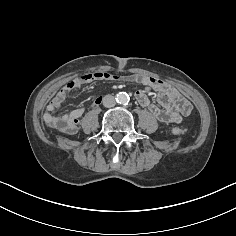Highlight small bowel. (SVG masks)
I'll use <instances>...</instances> for the list:
<instances>
[{"label": "small bowel", "instance_id": "small-bowel-1", "mask_svg": "<svg viewBox=\"0 0 236 236\" xmlns=\"http://www.w3.org/2000/svg\"><path fill=\"white\" fill-rule=\"evenodd\" d=\"M102 73L105 72L79 76L69 80L60 88L46 107V112L43 116L45 124L56 132L74 134L78 129V124L84 114L85 108L79 107L61 115H55L54 113L72 91L97 80H122L142 84L144 87L135 93L136 100L142 107L148 109L161 123H181L183 117L188 115L192 110L191 103L183 98L174 87L161 79L139 74L129 76L108 74L107 77H104L101 75ZM152 90L159 92L158 102L162 108L150 102L148 94ZM101 102L102 97H97L93 101V106H99Z\"/></svg>", "mask_w": 236, "mask_h": 236}]
</instances>
